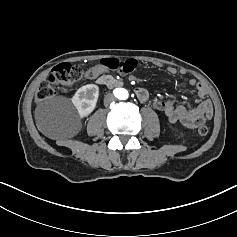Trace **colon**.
<instances>
[{
	"instance_id": "5ec220e1",
	"label": "colon",
	"mask_w": 237,
	"mask_h": 237,
	"mask_svg": "<svg viewBox=\"0 0 237 237\" xmlns=\"http://www.w3.org/2000/svg\"><path fill=\"white\" fill-rule=\"evenodd\" d=\"M100 64L108 70L116 71L120 74H129L136 70L138 63L135 59L119 60L116 58H105L100 60ZM83 75V70L79 66L70 63H62L57 65L51 72L49 78L42 82L36 92V100L38 102L45 101L55 94V87H71ZM208 127L201 125L198 133L202 136L208 134Z\"/></svg>"
}]
</instances>
